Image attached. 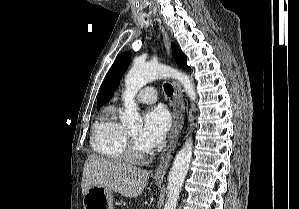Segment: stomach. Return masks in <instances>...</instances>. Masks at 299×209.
<instances>
[{"mask_svg":"<svg viewBox=\"0 0 299 209\" xmlns=\"http://www.w3.org/2000/svg\"><path fill=\"white\" fill-rule=\"evenodd\" d=\"M84 209H113V193L111 190L94 186L83 198Z\"/></svg>","mask_w":299,"mask_h":209,"instance_id":"obj_1","label":"stomach"}]
</instances>
